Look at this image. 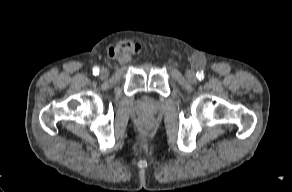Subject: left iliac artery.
<instances>
[{"instance_id":"obj_1","label":"left iliac artery","mask_w":292,"mask_h":192,"mask_svg":"<svg viewBox=\"0 0 292 192\" xmlns=\"http://www.w3.org/2000/svg\"><path fill=\"white\" fill-rule=\"evenodd\" d=\"M196 77L197 79L202 80L204 78L203 72H197Z\"/></svg>"}]
</instances>
